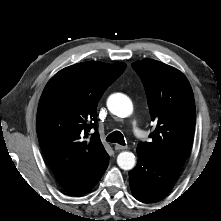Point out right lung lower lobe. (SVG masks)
<instances>
[{
    "label": "right lung lower lobe",
    "mask_w": 221,
    "mask_h": 221,
    "mask_svg": "<svg viewBox=\"0 0 221 221\" xmlns=\"http://www.w3.org/2000/svg\"><path fill=\"white\" fill-rule=\"evenodd\" d=\"M107 166L95 177L93 178L89 183L79 187V188H76L74 190H71L69 191L70 193L72 194H83L87 191H89L90 189H92L96 183L100 180L101 176L103 175L104 171L106 170Z\"/></svg>",
    "instance_id": "right-lung-lower-lobe-1"
}]
</instances>
